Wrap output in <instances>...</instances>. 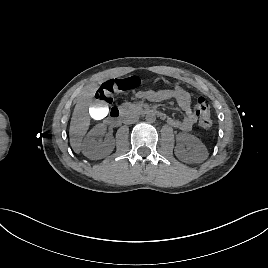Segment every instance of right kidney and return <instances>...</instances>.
Instances as JSON below:
<instances>
[{
    "label": "right kidney",
    "instance_id": "ca27d5eb",
    "mask_svg": "<svg viewBox=\"0 0 268 268\" xmlns=\"http://www.w3.org/2000/svg\"><path fill=\"white\" fill-rule=\"evenodd\" d=\"M106 132V126L98 124L92 128L84 138L81 150L84 156L92 160L102 159L109 155L114 147V139L112 136H107L104 142H100L99 139Z\"/></svg>",
    "mask_w": 268,
    "mask_h": 268
}]
</instances>
